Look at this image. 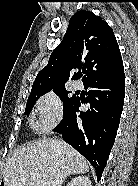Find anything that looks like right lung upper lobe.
Returning <instances> with one entry per match:
<instances>
[{
  "label": "right lung upper lobe",
  "instance_id": "1",
  "mask_svg": "<svg viewBox=\"0 0 138 186\" xmlns=\"http://www.w3.org/2000/svg\"><path fill=\"white\" fill-rule=\"evenodd\" d=\"M75 68H82L84 85L124 76L113 30L101 17L90 11H78L70 18L62 42L53 50L48 64L38 73L31 93L65 86ZM82 73H74L72 79H78Z\"/></svg>",
  "mask_w": 138,
  "mask_h": 186
}]
</instances>
